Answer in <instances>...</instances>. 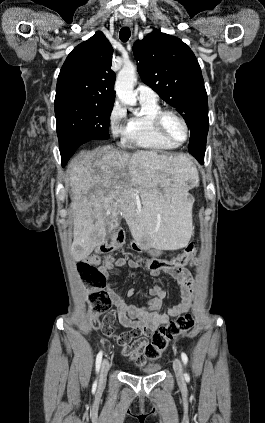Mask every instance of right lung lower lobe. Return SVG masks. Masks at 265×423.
<instances>
[{
	"label": "right lung lower lobe",
	"instance_id": "right-lung-lower-lobe-1",
	"mask_svg": "<svg viewBox=\"0 0 265 423\" xmlns=\"http://www.w3.org/2000/svg\"><path fill=\"white\" fill-rule=\"evenodd\" d=\"M85 142H87V139L80 136H75L71 140H69V142H67V145L69 149L75 152L76 149Z\"/></svg>",
	"mask_w": 265,
	"mask_h": 423
}]
</instances>
